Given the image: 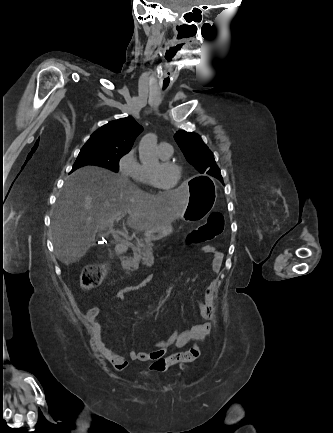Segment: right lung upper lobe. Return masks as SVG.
Returning a JSON list of instances; mask_svg holds the SVG:
<instances>
[{
  "instance_id": "obj_1",
  "label": "right lung upper lobe",
  "mask_w": 333,
  "mask_h": 433,
  "mask_svg": "<svg viewBox=\"0 0 333 433\" xmlns=\"http://www.w3.org/2000/svg\"><path fill=\"white\" fill-rule=\"evenodd\" d=\"M134 118L126 117L111 121L95 131L85 145H95L129 151L134 139L142 131Z\"/></svg>"
}]
</instances>
